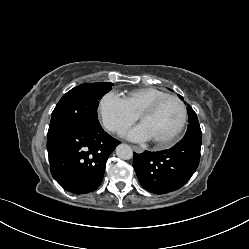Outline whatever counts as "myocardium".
I'll list each match as a JSON object with an SVG mask.
<instances>
[{
  "label": "myocardium",
  "mask_w": 249,
  "mask_h": 249,
  "mask_svg": "<svg viewBox=\"0 0 249 249\" xmlns=\"http://www.w3.org/2000/svg\"><path fill=\"white\" fill-rule=\"evenodd\" d=\"M167 100H175L180 104L181 109H182V119H181V122L178 128L168 138L163 139V140H153L155 146L159 149L169 148L179 139L180 135L182 134L186 126L187 119H188V111H187L186 104L178 96L167 95V96L158 98L155 101L151 102L150 104L145 106L138 114V119L139 121H141L144 116L152 114L163 102Z\"/></svg>",
  "instance_id": "myocardium-1"
}]
</instances>
